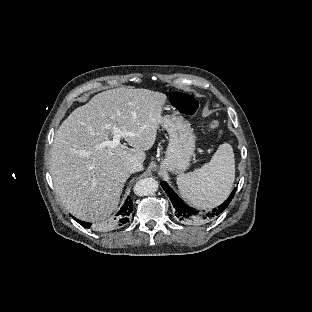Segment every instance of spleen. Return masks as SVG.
I'll return each instance as SVG.
<instances>
[{
  "mask_svg": "<svg viewBox=\"0 0 312 312\" xmlns=\"http://www.w3.org/2000/svg\"><path fill=\"white\" fill-rule=\"evenodd\" d=\"M235 179V159L229 143L219 145L209 163L177 176L180 193L193 206L211 209L222 204Z\"/></svg>",
  "mask_w": 312,
  "mask_h": 312,
  "instance_id": "spleen-1",
  "label": "spleen"
}]
</instances>
